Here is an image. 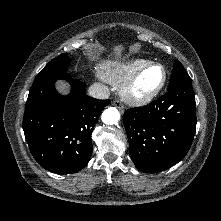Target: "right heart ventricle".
<instances>
[{
    "label": "right heart ventricle",
    "mask_w": 221,
    "mask_h": 221,
    "mask_svg": "<svg viewBox=\"0 0 221 221\" xmlns=\"http://www.w3.org/2000/svg\"><path fill=\"white\" fill-rule=\"evenodd\" d=\"M148 63L150 61L143 58H134L126 62L107 61L101 67V76L111 84H124L136 71Z\"/></svg>",
    "instance_id": "1"
}]
</instances>
